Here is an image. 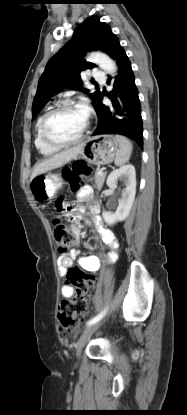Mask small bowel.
I'll return each mask as SVG.
<instances>
[{
    "mask_svg": "<svg viewBox=\"0 0 187 415\" xmlns=\"http://www.w3.org/2000/svg\"><path fill=\"white\" fill-rule=\"evenodd\" d=\"M92 195V188L88 185H85L80 188L77 193V197L79 200H87ZM74 218H81L84 210L82 208H77ZM90 214L92 216V220L96 225L98 234L100 235L103 243L109 249L108 257L109 259H114L116 255V250L118 248V240L113 235L111 231L106 229L103 224L101 223L99 217V206L97 202H92L90 206ZM73 232L76 235V238L79 240L80 231L77 227L73 226ZM80 255V251L78 248H73L69 251V253L65 255H61L58 258L59 264V274L62 277H66L69 269L73 266V262L77 259ZM79 263L81 267L88 271V272H97L100 268L101 258L96 255H86L80 258ZM61 295L65 298L72 297L74 295V288L70 284H65L61 288Z\"/></svg>",
    "mask_w": 187,
    "mask_h": 415,
    "instance_id": "obj_1",
    "label": "small bowel"
}]
</instances>
